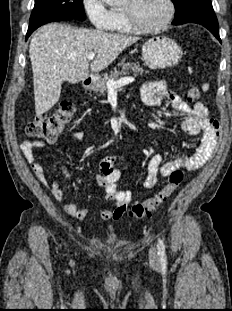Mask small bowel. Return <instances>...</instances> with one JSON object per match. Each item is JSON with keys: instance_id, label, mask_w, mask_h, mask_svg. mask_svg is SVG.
I'll return each instance as SVG.
<instances>
[{"instance_id": "small-bowel-1", "label": "small bowel", "mask_w": 232, "mask_h": 311, "mask_svg": "<svg viewBox=\"0 0 232 311\" xmlns=\"http://www.w3.org/2000/svg\"><path fill=\"white\" fill-rule=\"evenodd\" d=\"M143 103L148 107L159 106L163 102H169L178 112L188 117L182 122V129L190 135H201L200 144L196 151L187 157L176 158L163 163L160 154L154 155L147 166L145 176L142 181L144 188L151 189L156 186L159 176H168L174 170L194 171L202 167L212 155L219 137V123L208 117L206 107L197 102L192 106L182 98L166 89V84L161 80H154L146 83L141 91ZM72 138L81 141L85 138L83 131H75ZM45 142L41 140H25L20 149L26 161L30 164L37 178L51 189L53 197L57 201H63V192L59 188L51 185L43 166L36 161L34 149L42 148ZM116 156H106L100 163L101 173L95 176V182L104 189L105 200L115 204L113 209L107 208L101 211L99 217L102 221L112 219L119 221L128 204L133 201V193L129 190H121L118 181L121 176V168L116 166ZM64 210L72 217L82 220L88 213L87 207H78L75 202L64 203Z\"/></svg>"}]
</instances>
